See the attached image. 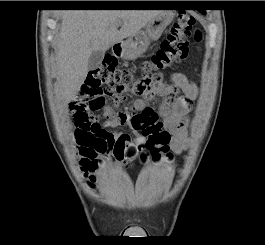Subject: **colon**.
Segmentation results:
<instances>
[{
    "label": "colon",
    "instance_id": "obj_1",
    "mask_svg": "<svg viewBox=\"0 0 265 245\" xmlns=\"http://www.w3.org/2000/svg\"><path fill=\"white\" fill-rule=\"evenodd\" d=\"M195 24L194 17L186 13L179 14L160 49L150 60L141 61L136 71L120 69L117 59L109 54L105 61L88 73L86 88L89 94L118 99L124 91L129 90L135 96L151 100L161 89L156 72L172 68L186 59L190 53V39H200L199 34L194 33ZM78 101L80 99L70 105V114L76 120L77 143L86 148L106 149L117 156L133 155L138 151L137 148L127 147L123 140L115 139L112 133L100 130L99 116L87 113L89 109H97L96 105L81 101L82 105L77 106ZM121 122L129 123L132 129L142 134L144 142L139 149L142 161L149 158L156 160L162 154H168L171 135L156 114L145 110L131 116L124 115Z\"/></svg>",
    "mask_w": 265,
    "mask_h": 245
}]
</instances>
